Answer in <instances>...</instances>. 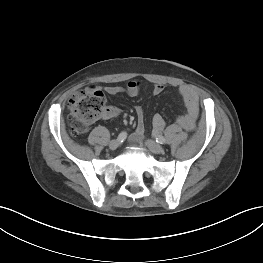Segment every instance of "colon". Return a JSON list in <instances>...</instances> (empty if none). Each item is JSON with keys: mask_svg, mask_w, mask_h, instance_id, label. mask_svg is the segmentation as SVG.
Segmentation results:
<instances>
[{"mask_svg": "<svg viewBox=\"0 0 263 263\" xmlns=\"http://www.w3.org/2000/svg\"><path fill=\"white\" fill-rule=\"evenodd\" d=\"M68 107L72 115V131L85 133L90 124L101 117L105 111V97L96 87L76 92L69 100Z\"/></svg>", "mask_w": 263, "mask_h": 263, "instance_id": "obj_1", "label": "colon"}]
</instances>
